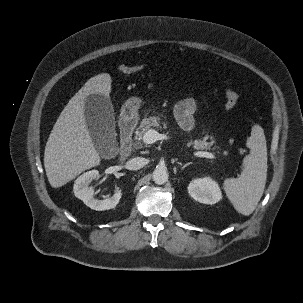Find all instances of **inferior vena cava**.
Segmentation results:
<instances>
[{
  "mask_svg": "<svg viewBox=\"0 0 303 303\" xmlns=\"http://www.w3.org/2000/svg\"><path fill=\"white\" fill-rule=\"evenodd\" d=\"M147 164V160L142 157H135L126 162V168L128 170H138Z\"/></svg>",
  "mask_w": 303,
  "mask_h": 303,
  "instance_id": "602c4592",
  "label": "inferior vena cava"
}]
</instances>
